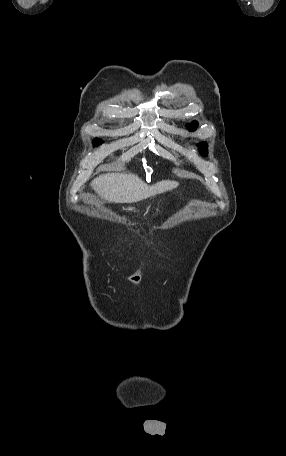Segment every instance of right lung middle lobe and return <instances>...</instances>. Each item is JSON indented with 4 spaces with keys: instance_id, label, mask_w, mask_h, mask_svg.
<instances>
[{
    "instance_id": "obj_1",
    "label": "right lung middle lobe",
    "mask_w": 286,
    "mask_h": 456,
    "mask_svg": "<svg viewBox=\"0 0 286 456\" xmlns=\"http://www.w3.org/2000/svg\"><path fill=\"white\" fill-rule=\"evenodd\" d=\"M93 143H94V145H99V144H101V143H102V141H101V140H98V139H96V140H95Z\"/></svg>"
}]
</instances>
